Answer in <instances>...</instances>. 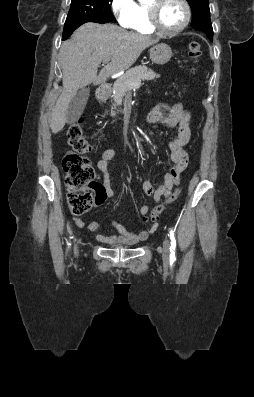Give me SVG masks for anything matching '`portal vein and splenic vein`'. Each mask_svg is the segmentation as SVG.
Returning <instances> with one entry per match:
<instances>
[{
	"instance_id": "portal-vein-and-splenic-vein-1",
	"label": "portal vein and splenic vein",
	"mask_w": 254,
	"mask_h": 397,
	"mask_svg": "<svg viewBox=\"0 0 254 397\" xmlns=\"http://www.w3.org/2000/svg\"><path fill=\"white\" fill-rule=\"evenodd\" d=\"M108 62H109V60H105V61H103V65L107 64ZM135 85H137V86H140V85H141V83H137V84H135Z\"/></svg>"
}]
</instances>
